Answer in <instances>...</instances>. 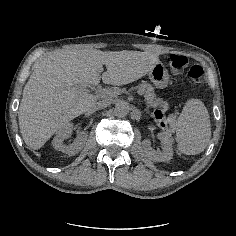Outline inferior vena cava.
<instances>
[{"instance_id": "obj_1", "label": "inferior vena cava", "mask_w": 236, "mask_h": 236, "mask_svg": "<svg viewBox=\"0 0 236 236\" xmlns=\"http://www.w3.org/2000/svg\"><path fill=\"white\" fill-rule=\"evenodd\" d=\"M110 104H111V102L107 101V100L99 101V102H96L92 106V109H94V110H101V109H104V108L108 107Z\"/></svg>"}]
</instances>
